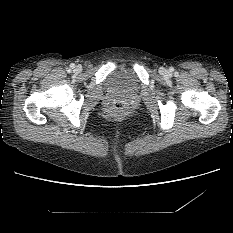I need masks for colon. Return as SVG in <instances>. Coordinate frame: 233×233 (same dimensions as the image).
Returning <instances> with one entry per match:
<instances>
[{
	"label": "colon",
	"instance_id": "1",
	"mask_svg": "<svg viewBox=\"0 0 233 233\" xmlns=\"http://www.w3.org/2000/svg\"><path fill=\"white\" fill-rule=\"evenodd\" d=\"M129 103L125 99L114 100L106 109L109 118H122L129 113Z\"/></svg>",
	"mask_w": 233,
	"mask_h": 233
}]
</instances>
